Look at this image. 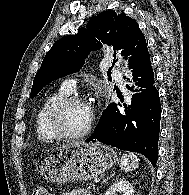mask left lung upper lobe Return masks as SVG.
Listing matches in <instances>:
<instances>
[{
    "label": "left lung upper lobe",
    "instance_id": "obj_1",
    "mask_svg": "<svg viewBox=\"0 0 189 195\" xmlns=\"http://www.w3.org/2000/svg\"><path fill=\"white\" fill-rule=\"evenodd\" d=\"M104 44L113 48L114 57L116 51L120 52L129 70L150 58L137 22L124 13L104 11L92 17L86 28H80L76 35L65 36L54 43L35 75L30 97H35L53 80L77 72L89 53Z\"/></svg>",
    "mask_w": 189,
    "mask_h": 195
}]
</instances>
